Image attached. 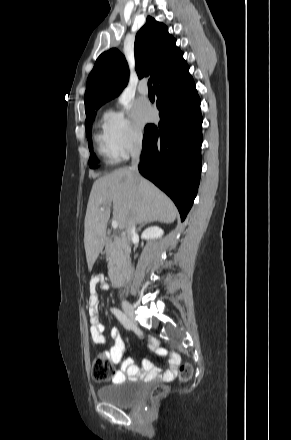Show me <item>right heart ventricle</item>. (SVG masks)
Instances as JSON below:
<instances>
[{
	"mask_svg": "<svg viewBox=\"0 0 291 440\" xmlns=\"http://www.w3.org/2000/svg\"><path fill=\"white\" fill-rule=\"evenodd\" d=\"M94 140L96 143V149L98 155L107 164H112L117 161L118 157L114 154L111 145L109 143L108 137L105 132L104 123L98 125V130L94 135Z\"/></svg>",
	"mask_w": 291,
	"mask_h": 440,
	"instance_id": "right-heart-ventricle-1",
	"label": "right heart ventricle"
}]
</instances>
